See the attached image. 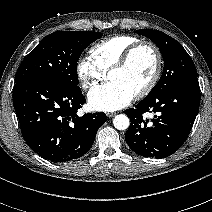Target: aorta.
<instances>
[{
	"instance_id": "1",
	"label": "aorta",
	"mask_w": 212,
	"mask_h": 212,
	"mask_svg": "<svg viewBox=\"0 0 212 212\" xmlns=\"http://www.w3.org/2000/svg\"><path fill=\"white\" fill-rule=\"evenodd\" d=\"M113 125L117 130H126L130 125V121L125 114H119L114 117Z\"/></svg>"
}]
</instances>
